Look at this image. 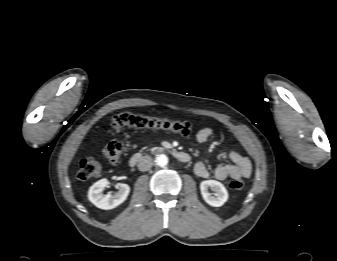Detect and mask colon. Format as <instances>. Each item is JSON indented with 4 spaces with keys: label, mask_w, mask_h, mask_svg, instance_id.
Returning a JSON list of instances; mask_svg holds the SVG:
<instances>
[{
    "label": "colon",
    "mask_w": 337,
    "mask_h": 261,
    "mask_svg": "<svg viewBox=\"0 0 337 261\" xmlns=\"http://www.w3.org/2000/svg\"><path fill=\"white\" fill-rule=\"evenodd\" d=\"M110 126L113 130H119L123 127L147 128L168 131L182 136H190L194 130L192 124L186 121H172L131 113L115 115L110 121ZM122 153L123 144L119 140L110 141L103 149V155L111 164L118 163L122 157ZM101 173L102 165L96 159L88 157L81 160L78 169L79 179L89 180L98 177ZM244 185V181L241 179H233L229 183V187L232 190H241L244 188Z\"/></svg>",
    "instance_id": "1"
}]
</instances>
